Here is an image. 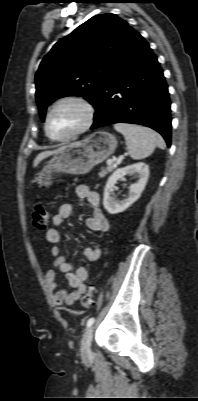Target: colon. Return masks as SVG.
Masks as SVG:
<instances>
[{
  "instance_id": "obj_1",
  "label": "colon",
  "mask_w": 198,
  "mask_h": 401,
  "mask_svg": "<svg viewBox=\"0 0 198 401\" xmlns=\"http://www.w3.org/2000/svg\"><path fill=\"white\" fill-rule=\"evenodd\" d=\"M50 214L48 210L42 206L37 205L32 211V225L37 229H46L49 223ZM94 303V291L88 290L87 293L82 297L81 304L85 308H89Z\"/></svg>"
}]
</instances>
